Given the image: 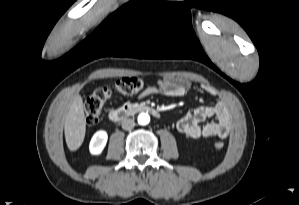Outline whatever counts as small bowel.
<instances>
[{"label":"small bowel","mask_w":299,"mask_h":205,"mask_svg":"<svg viewBox=\"0 0 299 205\" xmlns=\"http://www.w3.org/2000/svg\"><path fill=\"white\" fill-rule=\"evenodd\" d=\"M163 83L161 88L148 86L139 93L138 97L143 98L155 93L169 97H181L186 94L191 85L187 78L171 76L166 77ZM203 90L211 96H217V92L210 86L204 85ZM211 118H215V120L200 124ZM176 127L180 133L193 139L226 138L231 129V117L227 104L220 99L213 106L199 107L182 117Z\"/></svg>","instance_id":"1"}]
</instances>
